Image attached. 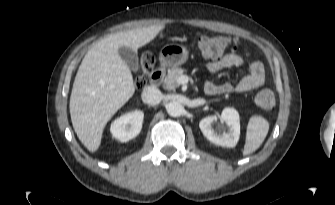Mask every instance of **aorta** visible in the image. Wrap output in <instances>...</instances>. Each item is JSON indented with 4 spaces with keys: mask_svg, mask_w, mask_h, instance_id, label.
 Instances as JSON below:
<instances>
[{
    "mask_svg": "<svg viewBox=\"0 0 335 205\" xmlns=\"http://www.w3.org/2000/svg\"><path fill=\"white\" fill-rule=\"evenodd\" d=\"M167 113L172 117H179L184 112V107L180 102L172 101L166 106Z\"/></svg>",
    "mask_w": 335,
    "mask_h": 205,
    "instance_id": "obj_1",
    "label": "aorta"
}]
</instances>
